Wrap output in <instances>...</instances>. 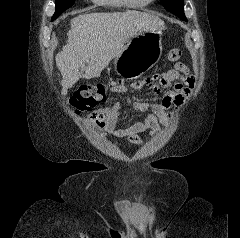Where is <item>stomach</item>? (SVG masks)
<instances>
[{
	"instance_id": "obj_1",
	"label": "stomach",
	"mask_w": 240,
	"mask_h": 238,
	"mask_svg": "<svg viewBox=\"0 0 240 238\" xmlns=\"http://www.w3.org/2000/svg\"><path fill=\"white\" fill-rule=\"evenodd\" d=\"M162 34V30L146 31L129 40L114 59L118 75L136 79L152 68L162 55Z\"/></svg>"
}]
</instances>
